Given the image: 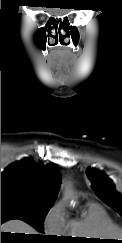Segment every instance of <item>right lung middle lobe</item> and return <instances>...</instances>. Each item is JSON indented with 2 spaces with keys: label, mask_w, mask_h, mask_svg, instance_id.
<instances>
[{
  "label": "right lung middle lobe",
  "mask_w": 122,
  "mask_h": 243,
  "mask_svg": "<svg viewBox=\"0 0 122 243\" xmlns=\"http://www.w3.org/2000/svg\"><path fill=\"white\" fill-rule=\"evenodd\" d=\"M51 207L52 203H40L14 196H1V223L11 219H20L39 232H43L44 219Z\"/></svg>",
  "instance_id": "obj_1"
}]
</instances>
